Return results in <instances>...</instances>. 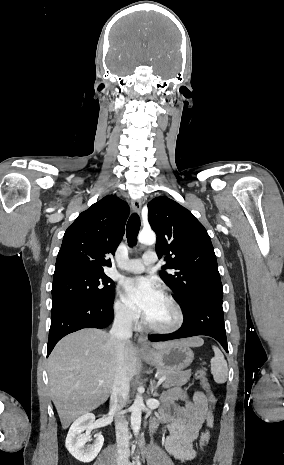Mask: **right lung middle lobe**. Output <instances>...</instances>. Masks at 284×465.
<instances>
[{
    "mask_svg": "<svg viewBox=\"0 0 284 465\" xmlns=\"http://www.w3.org/2000/svg\"><path fill=\"white\" fill-rule=\"evenodd\" d=\"M114 290L113 280L104 273H81L53 279L52 309L72 299H109Z\"/></svg>",
    "mask_w": 284,
    "mask_h": 465,
    "instance_id": "right-lung-middle-lobe-1",
    "label": "right lung middle lobe"
}]
</instances>
